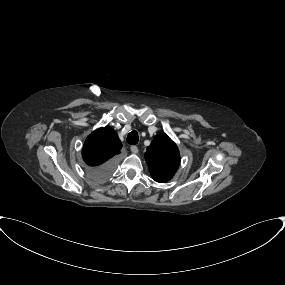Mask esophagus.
Segmentation results:
<instances>
[{"label": "esophagus", "mask_w": 285, "mask_h": 285, "mask_svg": "<svg viewBox=\"0 0 285 285\" xmlns=\"http://www.w3.org/2000/svg\"><path fill=\"white\" fill-rule=\"evenodd\" d=\"M131 152L136 154L138 152V147L136 145L131 146Z\"/></svg>", "instance_id": "34e87169"}]
</instances>
